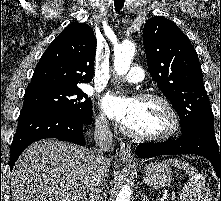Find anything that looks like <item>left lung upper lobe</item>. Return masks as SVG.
<instances>
[{"label":"left lung upper lobe","mask_w":221,"mask_h":201,"mask_svg":"<svg viewBox=\"0 0 221 201\" xmlns=\"http://www.w3.org/2000/svg\"><path fill=\"white\" fill-rule=\"evenodd\" d=\"M143 43L148 71L178 113L182 131H214L202 69L189 38L174 22L156 16L144 25Z\"/></svg>","instance_id":"left-lung-upper-lobe-1"}]
</instances>
